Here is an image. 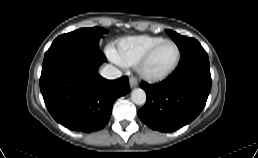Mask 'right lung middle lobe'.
Segmentation results:
<instances>
[{
  "label": "right lung middle lobe",
  "mask_w": 258,
  "mask_h": 158,
  "mask_svg": "<svg viewBox=\"0 0 258 158\" xmlns=\"http://www.w3.org/2000/svg\"><path fill=\"white\" fill-rule=\"evenodd\" d=\"M106 30L100 27L82 28L57 37L49 49L64 45H82L99 48V39Z\"/></svg>",
  "instance_id": "obj_1"
}]
</instances>
